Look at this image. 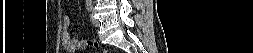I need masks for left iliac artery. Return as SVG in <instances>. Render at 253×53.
Masks as SVG:
<instances>
[{
	"label": "left iliac artery",
	"instance_id": "obj_1",
	"mask_svg": "<svg viewBox=\"0 0 253 53\" xmlns=\"http://www.w3.org/2000/svg\"><path fill=\"white\" fill-rule=\"evenodd\" d=\"M86 6H87V10L91 11L92 10V1L91 0H87L86 1Z\"/></svg>",
	"mask_w": 253,
	"mask_h": 53
}]
</instances>
